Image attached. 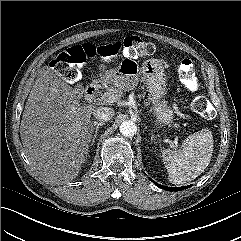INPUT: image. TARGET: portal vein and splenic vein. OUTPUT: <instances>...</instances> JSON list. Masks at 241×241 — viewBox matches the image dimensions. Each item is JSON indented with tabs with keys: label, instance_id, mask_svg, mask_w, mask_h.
<instances>
[{
	"label": "portal vein and splenic vein",
	"instance_id": "portal-vein-and-splenic-vein-1",
	"mask_svg": "<svg viewBox=\"0 0 241 241\" xmlns=\"http://www.w3.org/2000/svg\"><path fill=\"white\" fill-rule=\"evenodd\" d=\"M118 94H113L110 92H105L104 94L101 95L100 101L106 102V103H114L119 99Z\"/></svg>",
	"mask_w": 241,
	"mask_h": 241
}]
</instances>
